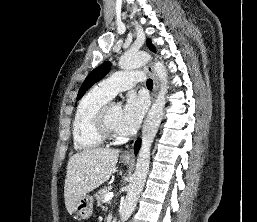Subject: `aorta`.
Masks as SVG:
<instances>
[{"label": "aorta", "instance_id": "obj_1", "mask_svg": "<svg viewBox=\"0 0 257 222\" xmlns=\"http://www.w3.org/2000/svg\"><path fill=\"white\" fill-rule=\"evenodd\" d=\"M151 56L144 51H127L120 59L119 66L122 69H135L143 66ZM154 71L160 80V91L149 110L142 128V144L138 154L136 169L132 181L128 187L126 198L121 207V222H125L131 216L136 207L138 197L144 187L149 171L150 149L161 123L167 94L168 74L161 62L154 63ZM120 222V221H119Z\"/></svg>", "mask_w": 257, "mask_h": 222}]
</instances>
